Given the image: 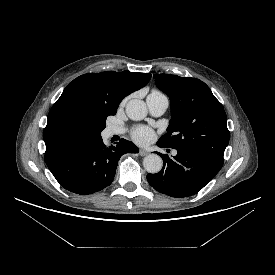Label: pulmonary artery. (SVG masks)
<instances>
[{
    "mask_svg": "<svg viewBox=\"0 0 275 275\" xmlns=\"http://www.w3.org/2000/svg\"><path fill=\"white\" fill-rule=\"evenodd\" d=\"M146 103L149 109V112L153 116L162 115L168 107V99L164 94H149L146 99ZM124 130L119 127L111 126L107 129V134L113 136L116 134L123 133ZM176 151L173 152L176 155Z\"/></svg>",
    "mask_w": 275,
    "mask_h": 275,
    "instance_id": "obj_1",
    "label": "pulmonary artery"
}]
</instances>
